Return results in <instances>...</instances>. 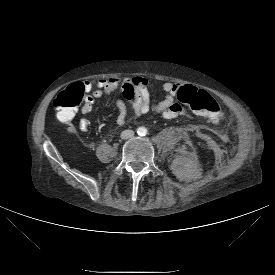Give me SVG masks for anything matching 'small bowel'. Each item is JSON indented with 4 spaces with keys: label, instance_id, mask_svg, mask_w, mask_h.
I'll return each mask as SVG.
<instances>
[{
    "label": "small bowel",
    "instance_id": "small-bowel-1",
    "mask_svg": "<svg viewBox=\"0 0 275 275\" xmlns=\"http://www.w3.org/2000/svg\"><path fill=\"white\" fill-rule=\"evenodd\" d=\"M79 86L85 92L82 107V113L84 114L92 110L94 103L98 99L122 90L124 100H114V105L118 110L116 124L119 126L124 125L127 120V105L125 102L132 104L136 117H140L148 112H153L162 114L163 117L167 119H172L184 113L182 106L175 100L181 87L180 84L175 82H165L163 84L162 89L165 97L154 104H151L150 101L148 81L141 76L125 79L117 77L90 79L79 82ZM58 119L63 122L60 128L63 135L70 138L77 135L79 129L75 122L70 120L65 121L60 117H58ZM79 126L80 129L86 130L89 127V121L86 118H82Z\"/></svg>",
    "mask_w": 275,
    "mask_h": 275
}]
</instances>
